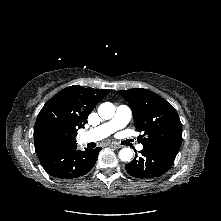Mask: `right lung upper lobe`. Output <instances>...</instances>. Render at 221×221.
Returning a JSON list of instances; mask_svg holds the SVG:
<instances>
[{"mask_svg": "<svg viewBox=\"0 0 221 221\" xmlns=\"http://www.w3.org/2000/svg\"><path fill=\"white\" fill-rule=\"evenodd\" d=\"M108 90L84 88L79 85L67 87L53 96L41 109L34 127L36 149L43 147L41 134L46 129H60L77 135L84 128L87 118Z\"/></svg>", "mask_w": 221, "mask_h": 221, "instance_id": "cb5924a9", "label": "right lung upper lobe"}]
</instances>
